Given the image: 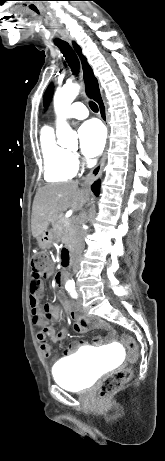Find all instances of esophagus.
Wrapping results in <instances>:
<instances>
[{"mask_svg":"<svg viewBox=\"0 0 165 461\" xmlns=\"http://www.w3.org/2000/svg\"><path fill=\"white\" fill-rule=\"evenodd\" d=\"M70 44L77 52L81 51V48H80V46H79V44L77 43L76 40H73V39L70 40ZM86 62L88 63L87 59L85 57H83L82 61H81L82 78H83L84 85H85V87L87 89V82L85 80ZM97 81H98V78H97ZM98 84H99V81H98ZM99 89H100V95H101V98H102V103L97 102L98 107H99V114H100V117H101L103 123L108 127L107 109H106L105 100H104V97H103V92H102V88L100 87V84H99ZM107 150H108V143L106 144L105 150L103 152V155L101 157V160H100L99 164L95 168H93L90 171V173L86 176L85 181H84L85 185H89L90 183H92L93 181H95L96 179H98L101 176L102 170H103V167H104V164H105V161H106V157H107Z\"/></svg>","mask_w":165,"mask_h":461,"instance_id":"34e87169","label":"esophagus"}]
</instances>
